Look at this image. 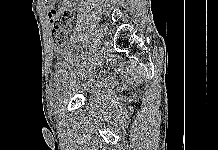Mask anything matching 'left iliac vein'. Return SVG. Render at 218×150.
<instances>
[{
  "instance_id": "left-iliac-vein-1",
  "label": "left iliac vein",
  "mask_w": 218,
  "mask_h": 150,
  "mask_svg": "<svg viewBox=\"0 0 218 150\" xmlns=\"http://www.w3.org/2000/svg\"><path fill=\"white\" fill-rule=\"evenodd\" d=\"M103 35V34H102ZM106 44V43H104ZM106 50V47L105 46H101L100 49L98 50V53H97V61L95 63H93L90 67L91 68H88L87 71H81L80 73H77L76 74V77L77 78H80L81 76H90L91 73L93 72V68L96 66V65H100L101 64V58H102V53L103 51ZM75 76H73L71 79L73 81H75L77 78ZM69 86L72 84L70 81L67 83Z\"/></svg>"
}]
</instances>
